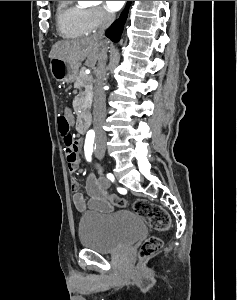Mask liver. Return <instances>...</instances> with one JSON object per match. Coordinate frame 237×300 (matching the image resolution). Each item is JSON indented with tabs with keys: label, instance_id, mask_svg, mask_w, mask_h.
<instances>
[{
	"label": "liver",
	"instance_id": "1",
	"mask_svg": "<svg viewBox=\"0 0 237 300\" xmlns=\"http://www.w3.org/2000/svg\"><path fill=\"white\" fill-rule=\"evenodd\" d=\"M107 41H97L93 37H84L77 41H58L53 45L49 59H63L70 65L82 63L86 59L87 67L95 69L101 49L106 47Z\"/></svg>",
	"mask_w": 237,
	"mask_h": 300
}]
</instances>
